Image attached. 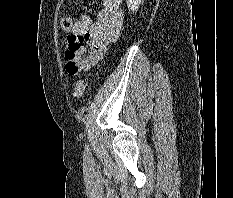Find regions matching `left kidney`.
<instances>
[{
	"label": "left kidney",
	"instance_id": "5707ae66",
	"mask_svg": "<svg viewBox=\"0 0 233 198\" xmlns=\"http://www.w3.org/2000/svg\"><path fill=\"white\" fill-rule=\"evenodd\" d=\"M126 1H127L128 9L134 12L139 8V5L143 0H126Z\"/></svg>",
	"mask_w": 233,
	"mask_h": 198
}]
</instances>
